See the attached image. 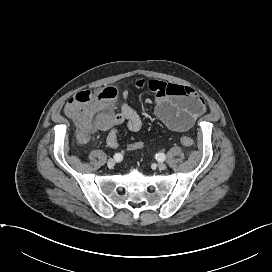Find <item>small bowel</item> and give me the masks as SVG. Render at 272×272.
Segmentation results:
<instances>
[{
  "label": "small bowel",
  "instance_id": "small-bowel-1",
  "mask_svg": "<svg viewBox=\"0 0 272 272\" xmlns=\"http://www.w3.org/2000/svg\"><path fill=\"white\" fill-rule=\"evenodd\" d=\"M137 88H146L154 93V113L172 131L184 132L193 127L196 120L206 112L203 98L191 87L173 83H165L156 79L139 80ZM128 89L122 93L124 99L128 97ZM126 124L132 132L142 127L139 114L126 102L121 105L117 114H107L99 119L97 124L100 130H109L107 144L111 148L118 147L117 126ZM143 147L140 141L129 145V150L136 151Z\"/></svg>",
  "mask_w": 272,
  "mask_h": 272
}]
</instances>
